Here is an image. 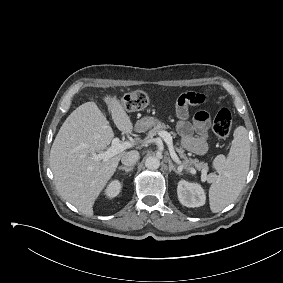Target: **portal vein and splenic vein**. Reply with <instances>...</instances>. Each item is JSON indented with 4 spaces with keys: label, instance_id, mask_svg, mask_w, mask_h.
Wrapping results in <instances>:
<instances>
[{
    "label": "portal vein and splenic vein",
    "instance_id": "18ae733b",
    "mask_svg": "<svg viewBox=\"0 0 283 283\" xmlns=\"http://www.w3.org/2000/svg\"><path fill=\"white\" fill-rule=\"evenodd\" d=\"M159 135L164 140V142L167 144L169 152H170V156L173 159V161L180 164L181 165L180 167H183V165L181 164V161L179 160L174 150L173 140H172V136L170 135V133H168L167 131H161ZM132 146H133V143L131 142L121 143L118 138H114L112 140L111 147L108 148V150L100 154H93L91 156V159L96 160V161L102 160L103 162H106L108 161L109 158L123 152L127 148H131Z\"/></svg>",
    "mask_w": 283,
    "mask_h": 283
}]
</instances>
